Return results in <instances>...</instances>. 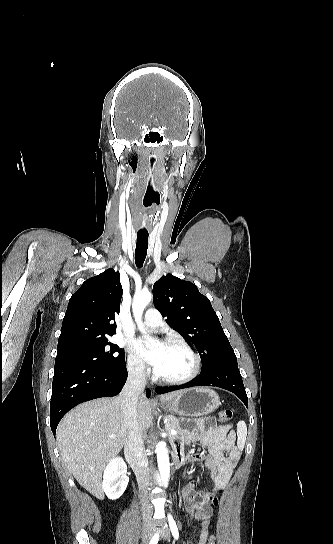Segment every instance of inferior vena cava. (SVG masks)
<instances>
[{
  "mask_svg": "<svg viewBox=\"0 0 333 544\" xmlns=\"http://www.w3.org/2000/svg\"><path fill=\"white\" fill-rule=\"evenodd\" d=\"M145 384L146 378L143 368L139 366L131 368L128 372L127 382L120 394L121 408L128 427L125 455L136 475L142 499L143 517L151 512L148 498L149 467L137 413L138 398L143 394Z\"/></svg>",
  "mask_w": 333,
  "mask_h": 544,
  "instance_id": "1",
  "label": "inferior vena cava"
}]
</instances>
